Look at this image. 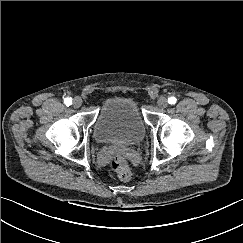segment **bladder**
I'll return each mask as SVG.
<instances>
[{"instance_id": "bladder-1", "label": "bladder", "mask_w": 243, "mask_h": 243, "mask_svg": "<svg viewBox=\"0 0 243 243\" xmlns=\"http://www.w3.org/2000/svg\"><path fill=\"white\" fill-rule=\"evenodd\" d=\"M95 140L123 148L140 143L145 125L137 103L128 97H111L101 105L93 125Z\"/></svg>"}]
</instances>
